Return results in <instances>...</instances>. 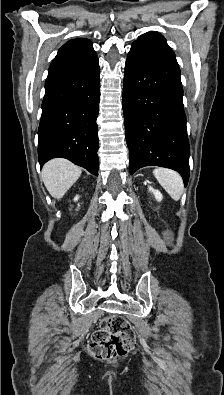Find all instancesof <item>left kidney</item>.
<instances>
[{"instance_id": "obj_1", "label": "left kidney", "mask_w": 224, "mask_h": 395, "mask_svg": "<svg viewBox=\"0 0 224 395\" xmlns=\"http://www.w3.org/2000/svg\"><path fill=\"white\" fill-rule=\"evenodd\" d=\"M148 189H149V192L153 193V195L157 201H161L163 199V196L159 190H156L151 186H149Z\"/></svg>"}]
</instances>
